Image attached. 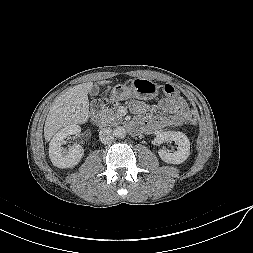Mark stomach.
<instances>
[{"instance_id": "0dacf381", "label": "stomach", "mask_w": 253, "mask_h": 253, "mask_svg": "<svg viewBox=\"0 0 253 253\" xmlns=\"http://www.w3.org/2000/svg\"><path fill=\"white\" fill-rule=\"evenodd\" d=\"M160 86L146 78H135L130 86L118 84L116 85L110 95L112 102L137 98L141 100L154 99L159 93Z\"/></svg>"}]
</instances>
